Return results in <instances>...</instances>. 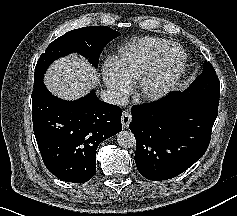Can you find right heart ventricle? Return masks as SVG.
<instances>
[{"label":"right heart ventricle","mask_w":237,"mask_h":216,"mask_svg":"<svg viewBox=\"0 0 237 216\" xmlns=\"http://www.w3.org/2000/svg\"><path fill=\"white\" fill-rule=\"evenodd\" d=\"M166 42V39L148 36L121 42L112 55V66L122 75L120 80L134 84L140 76V71L152 61L154 51Z\"/></svg>","instance_id":"e07e8e85"}]
</instances>
